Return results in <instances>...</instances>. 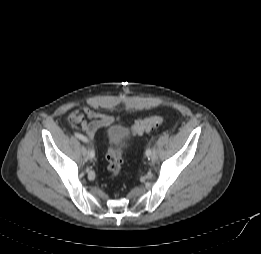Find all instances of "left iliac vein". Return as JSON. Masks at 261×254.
<instances>
[{"label": "left iliac vein", "instance_id": "left-iliac-vein-1", "mask_svg": "<svg viewBox=\"0 0 261 254\" xmlns=\"http://www.w3.org/2000/svg\"><path fill=\"white\" fill-rule=\"evenodd\" d=\"M156 159V152L154 151L151 155V160L154 161Z\"/></svg>", "mask_w": 261, "mask_h": 254}]
</instances>
